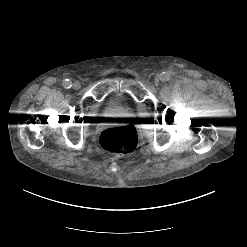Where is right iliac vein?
Here are the masks:
<instances>
[{"label": "right iliac vein", "mask_w": 247, "mask_h": 247, "mask_svg": "<svg viewBox=\"0 0 247 247\" xmlns=\"http://www.w3.org/2000/svg\"><path fill=\"white\" fill-rule=\"evenodd\" d=\"M80 87H81V84L78 81L73 83V89L78 90L80 89Z\"/></svg>", "instance_id": "1"}]
</instances>
